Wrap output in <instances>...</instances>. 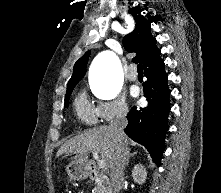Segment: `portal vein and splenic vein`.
Returning <instances> with one entry per match:
<instances>
[{
	"label": "portal vein and splenic vein",
	"mask_w": 221,
	"mask_h": 193,
	"mask_svg": "<svg viewBox=\"0 0 221 193\" xmlns=\"http://www.w3.org/2000/svg\"><path fill=\"white\" fill-rule=\"evenodd\" d=\"M93 157L98 161V165L100 168H105L106 167V162L104 160L99 159L98 152L97 151H92Z\"/></svg>",
	"instance_id": "obj_1"
}]
</instances>
